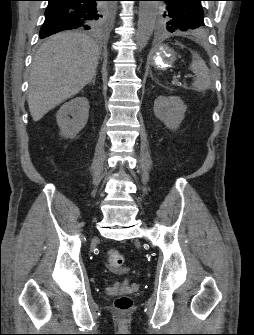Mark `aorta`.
<instances>
[{
    "mask_svg": "<svg viewBox=\"0 0 254 335\" xmlns=\"http://www.w3.org/2000/svg\"><path fill=\"white\" fill-rule=\"evenodd\" d=\"M158 3L156 1H140L139 19L136 33V44L141 51L148 43L156 22Z\"/></svg>",
    "mask_w": 254,
    "mask_h": 335,
    "instance_id": "obj_1",
    "label": "aorta"
}]
</instances>
